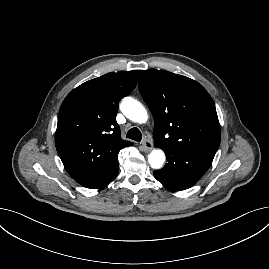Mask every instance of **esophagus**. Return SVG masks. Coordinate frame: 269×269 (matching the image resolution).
I'll use <instances>...</instances> for the list:
<instances>
[{"label":"esophagus","instance_id":"esophagus-1","mask_svg":"<svg viewBox=\"0 0 269 269\" xmlns=\"http://www.w3.org/2000/svg\"><path fill=\"white\" fill-rule=\"evenodd\" d=\"M142 145H143L145 151H150L153 148V143L151 142V140H149L147 138H145L143 140Z\"/></svg>","mask_w":269,"mask_h":269}]
</instances>
